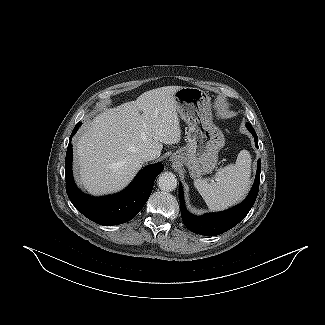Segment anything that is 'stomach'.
Instances as JSON below:
<instances>
[{
	"label": "stomach",
	"instance_id": "obj_1",
	"mask_svg": "<svg viewBox=\"0 0 325 325\" xmlns=\"http://www.w3.org/2000/svg\"><path fill=\"white\" fill-rule=\"evenodd\" d=\"M210 100L205 91L194 87H181L174 94L177 113L188 125V131L186 146L177 150L172 159L185 164L192 178L211 172L225 145L223 132L213 123Z\"/></svg>",
	"mask_w": 325,
	"mask_h": 325
}]
</instances>
